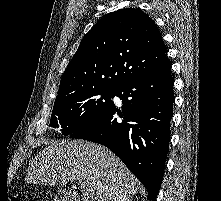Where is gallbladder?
I'll use <instances>...</instances> for the list:
<instances>
[{"label":"gallbladder","mask_w":221,"mask_h":201,"mask_svg":"<svg viewBox=\"0 0 221 201\" xmlns=\"http://www.w3.org/2000/svg\"><path fill=\"white\" fill-rule=\"evenodd\" d=\"M57 194L63 195L66 198H69V197L73 196L72 192L70 190L62 188V187L57 188Z\"/></svg>","instance_id":"gallbladder-1"}]
</instances>
